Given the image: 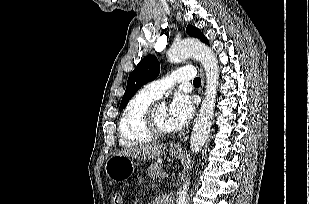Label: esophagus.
<instances>
[{"instance_id": "obj_1", "label": "esophagus", "mask_w": 309, "mask_h": 204, "mask_svg": "<svg viewBox=\"0 0 309 204\" xmlns=\"http://www.w3.org/2000/svg\"><path fill=\"white\" fill-rule=\"evenodd\" d=\"M200 74H201V79H202V85H201V88H200V94L202 95L203 94L204 83H205V76H204V72H203L202 68H200ZM172 148L180 150L182 148V143L181 142L174 143L172 145Z\"/></svg>"}]
</instances>
